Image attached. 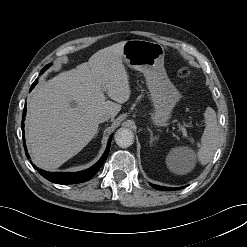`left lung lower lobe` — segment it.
I'll list each match as a JSON object with an SVG mask.
<instances>
[{
	"mask_svg": "<svg viewBox=\"0 0 247 247\" xmlns=\"http://www.w3.org/2000/svg\"><path fill=\"white\" fill-rule=\"evenodd\" d=\"M153 188L155 189H158V190H178V189H181V188H168V187H161V186H158V185H151Z\"/></svg>",
	"mask_w": 247,
	"mask_h": 247,
	"instance_id": "obj_1",
	"label": "left lung lower lobe"
}]
</instances>
